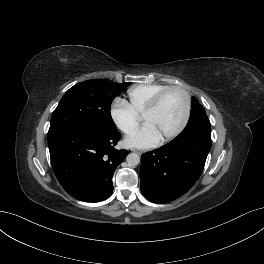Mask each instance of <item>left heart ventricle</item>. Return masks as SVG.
Returning a JSON list of instances; mask_svg holds the SVG:
<instances>
[{"label": "left heart ventricle", "instance_id": "obj_1", "mask_svg": "<svg viewBox=\"0 0 264 264\" xmlns=\"http://www.w3.org/2000/svg\"><path fill=\"white\" fill-rule=\"evenodd\" d=\"M183 111V94L173 90L165 95L155 111L144 118V122L153 125L163 138L179 126L183 117Z\"/></svg>", "mask_w": 264, "mask_h": 264}]
</instances>
